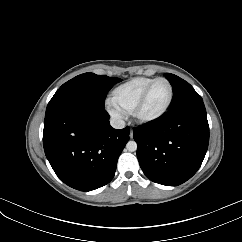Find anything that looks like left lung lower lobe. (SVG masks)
<instances>
[{"label": "left lung lower lobe", "instance_id": "obj_1", "mask_svg": "<svg viewBox=\"0 0 242 242\" xmlns=\"http://www.w3.org/2000/svg\"><path fill=\"white\" fill-rule=\"evenodd\" d=\"M141 169L151 181L177 186L199 169L209 143L203 101L170 109L157 121L133 131Z\"/></svg>", "mask_w": 242, "mask_h": 242}]
</instances>
